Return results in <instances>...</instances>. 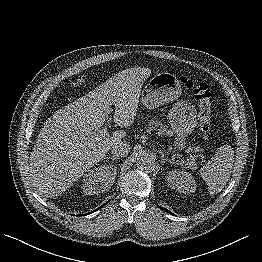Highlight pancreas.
<instances>
[{"mask_svg":"<svg viewBox=\"0 0 262 262\" xmlns=\"http://www.w3.org/2000/svg\"><path fill=\"white\" fill-rule=\"evenodd\" d=\"M148 130L149 131H152V130H159V131H161V132H166V133H169L170 131L168 130V127L166 126V125H163L160 121H158V120H151L150 122H149V124H148ZM190 161H193V159L192 160H190ZM189 161V162H190ZM194 162V161H193ZM188 163V162H187ZM189 165V164H188ZM193 165H195V162H194V164ZM193 165H190V166H193Z\"/></svg>","mask_w":262,"mask_h":262,"instance_id":"pancreas-1","label":"pancreas"}]
</instances>
